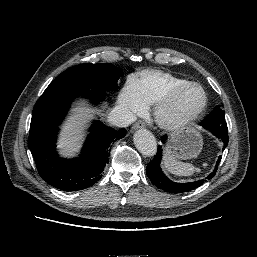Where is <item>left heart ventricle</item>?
<instances>
[{
  "mask_svg": "<svg viewBox=\"0 0 257 257\" xmlns=\"http://www.w3.org/2000/svg\"><path fill=\"white\" fill-rule=\"evenodd\" d=\"M203 94L199 88H189L182 92L168 107L171 117H184L193 113L202 103Z\"/></svg>",
  "mask_w": 257,
  "mask_h": 257,
  "instance_id": "b2bd125f",
  "label": "left heart ventricle"
}]
</instances>
